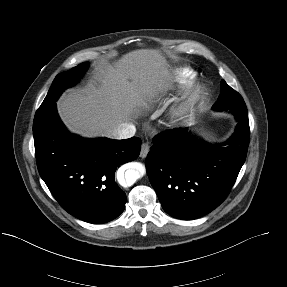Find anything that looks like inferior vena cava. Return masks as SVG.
Returning a JSON list of instances; mask_svg holds the SVG:
<instances>
[{
    "instance_id": "1",
    "label": "inferior vena cava",
    "mask_w": 287,
    "mask_h": 287,
    "mask_svg": "<svg viewBox=\"0 0 287 287\" xmlns=\"http://www.w3.org/2000/svg\"><path fill=\"white\" fill-rule=\"evenodd\" d=\"M136 127L131 123H122L111 132V137L114 139H127L135 135Z\"/></svg>"
}]
</instances>
